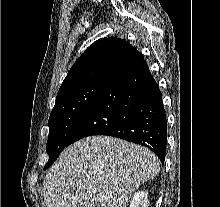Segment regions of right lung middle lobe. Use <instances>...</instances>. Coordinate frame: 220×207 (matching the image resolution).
Segmentation results:
<instances>
[{
	"mask_svg": "<svg viewBox=\"0 0 220 207\" xmlns=\"http://www.w3.org/2000/svg\"><path fill=\"white\" fill-rule=\"evenodd\" d=\"M105 82L106 79L96 80L57 96L48 121L46 150L49 160L44 169L69 145L70 137L92 108Z\"/></svg>",
	"mask_w": 220,
	"mask_h": 207,
	"instance_id": "obj_1",
	"label": "right lung middle lobe"
}]
</instances>
